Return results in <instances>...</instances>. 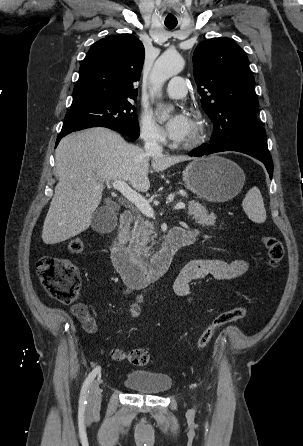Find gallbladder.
I'll return each mask as SVG.
<instances>
[{"instance_id":"bac80fb5","label":"gallbladder","mask_w":303,"mask_h":446,"mask_svg":"<svg viewBox=\"0 0 303 446\" xmlns=\"http://www.w3.org/2000/svg\"><path fill=\"white\" fill-rule=\"evenodd\" d=\"M116 223L115 214L103 208L96 210L92 216V227L98 232H105L113 228Z\"/></svg>"}]
</instances>
